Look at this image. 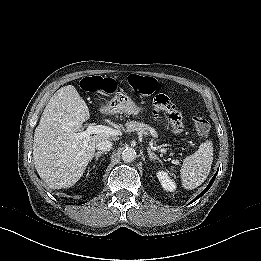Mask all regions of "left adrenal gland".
<instances>
[{
  "instance_id": "left-adrenal-gland-1",
  "label": "left adrenal gland",
  "mask_w": 261,
  "mask_h": 261,
  "mask_svg": "<svg viewBox=\"0 0 261 261\" xmlns=\"http://www.w3.org/2000/svg\"><path fill=\"white\" fill-rule=\"evenodd\" d=\"M147 152H148L150 161H155V160H157L158 162L161 163V160L157 157V155H156L155 153H153V152L151 151V149H150L149 147L147 148Z\"/></svg>"
}]
</instances>
